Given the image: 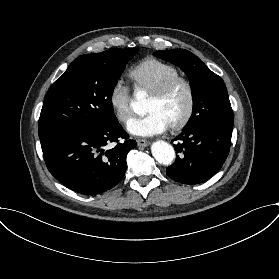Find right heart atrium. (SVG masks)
<instances>
[{"mask_svg":"<svg viewBox=\"0 0 279 279\" xmlns=\"http://www.w3.org/2000/svg\"><path fill=\"white\" fill-rule=\"evenodd\" d=\"M109 107L119 123H126L132 115L131 89L122 79L114 82L107 96Z\"/></svg>","mask_w":279,"mask_h":279,"instance_id":"obj_1","label":"right heart atrium"}]
</instances>
